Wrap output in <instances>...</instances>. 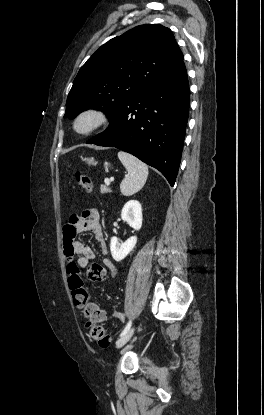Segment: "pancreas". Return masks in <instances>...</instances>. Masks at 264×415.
Returning a JSON list of instances; mask_svg holds the SVG:
<instances>
[{
	"label": "pancreas",
	"instance_id": "pancreas-1",
	"mask_svg": "<svg viewBox=\"0 0 264 415\" xmlns=\"http://www.w3.org/2000/svg\"><path fill=\"white\" fill-rule=\"evenodd\" d=\"M100 191H101V193H110L111 189L109 187H107L106 185H101Z\"/></svg>",
	"mask_w": 264,
	"mask_h": 415
}]
</instances>
